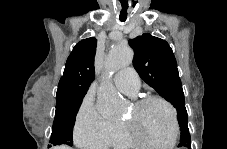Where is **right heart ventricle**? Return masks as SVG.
<instances>
[{
  "label": "right heart ventricle",
  "mask_w": 227,
  "mask_h": 149,
  "mask_svg": "<svg viewBox=\"0 0 227 149\" xmlns=\"http://www.w3.org/2000/svg\"><path fill=\"white\" fill-rule=\"evenodd\" d=\"M113 145H115L118 148H130L134 146H138V144L128 133L124 123H119L118 132L116 135V138L113 142Z\"/></svg>",
  "instance_id": "right-heart-ventricle-1"
}]
</instances>
